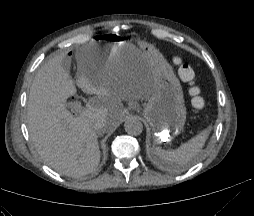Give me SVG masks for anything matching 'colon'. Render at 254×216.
<instances>
[{
	"instance_id": "obj_1",
	"label": "colon",
	"mask_w": 254,
	"mask_h": 216,
	"mask_svg": "<svg viewBox=\"0 0 254 216\" xmlns=\"http://www.w3.org/2000/svg\"><path fill=\"white\" fill-rule=\"evenodd\" d=\"M173 62L178 66V76L189 87V95L192 105L200 109L204 106V101L200 95V89L195 85V72L191 66L183 63L179 56L173 58Z\"/></svg>"
}]
</instances>
